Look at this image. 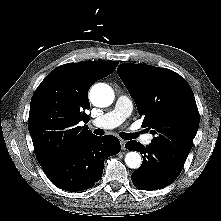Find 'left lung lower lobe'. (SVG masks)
<instances>
[{
    "label": "left lung lower lobe",
    "mask_w": 221,
    "mask_h": 221,
    "mask_svg": "<svg viewBox=\"0 0 221 221\" xmlns=\"http://www.w3.org/2000/svg\"><path fill=\"white\" fill-rule=\"evenodd\" d=\"M125 147L143 154V163L131 176L139 190H157L170 185L183 169L185 160L170 153L166 148L150 143L144 147L130 140Z\"/></svg>",
    "instance_id": "0a47b994"
}]
</instances>
